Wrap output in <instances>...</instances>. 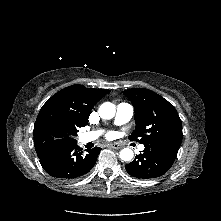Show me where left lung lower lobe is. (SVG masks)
<instances>
[{"label":"left lung lower lobe","mask_w":221,"mask_h":221,"mask_svg":"<svg viewBox=\"0 0 221 221\" xmlns=\"http://www.w3.org/2000/svg\"><path fill=\"white\" fill-rule=\"evenodd\" d=\"M144 146V151L125 166L126 171L139 179H152L164 175L175 161L179 147L166 144Z\"/></svg>","instance_id":"1"}]
</instances>
